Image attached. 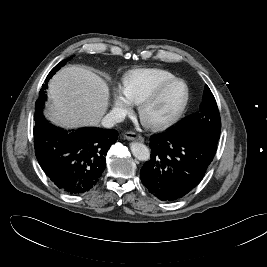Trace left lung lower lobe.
<instances>
[{
  "mask_svg": "<svg viewBox=\"0 0 267 267\" xmlns=\"http://www.w3.org/2000/svg\"><path fill=\"white\" fill-rule=\"evenodd\" d=\"M150 141L151 159L142 167L140 178L163 201L181 198L195 188L217 150L216 141L194 129H170Z\"/></svg>",
  "mask_w": 267,
  "mask_h": 267,
  "instance_id": "0a47b994",
  "label": "left lung lower lobe"
}]
</instances>
